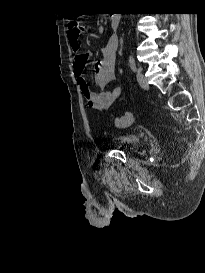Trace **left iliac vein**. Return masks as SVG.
<instances>
[{"label": "left iliac vein", "mask_w": 205, "mask_h": 273, "mask_svg": "<svg viewBox=\"0 0 205 273\" xmlns=\"http://www.w3.org/2000/svg\"><path fill=\"white\" fill-rule=\"evenodd\" d=\"M136 77H137V81L139 83V85L141 86V88L143 89H148V82L147 79L145 78V76L143 75V73L138 70L136 73Z\"/></svg>", "instance_id": "obj_1"}]
</instances>
